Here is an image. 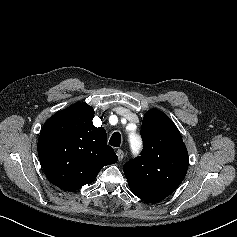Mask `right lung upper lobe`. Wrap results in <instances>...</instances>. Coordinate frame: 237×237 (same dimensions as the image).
<instances>
[{
    "instance_id": "obj_1",
    "label": "right lung upper lobe",
    "mask_w": 237,
    "mask_h": 237,
    "mask_svg": "<svg viewBox=\"0 0 237 237\" xmlns=\"http://www.w3.org/2000/svg\"><path fill=\"white\" fill-rule=\"evenodd\" d=\"M93 117L92 107L77 103L51 116L41 130L40 163L50 182L63 190L92 183L105 165L118 160L107 145L105 129L95 127Z\"/></svg>"
}]
</instances>
